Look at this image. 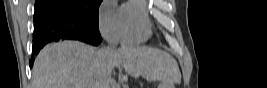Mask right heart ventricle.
Here are the masks:
<instances>
[{
	"label": "right heart ventricle",
	"mask_w": 267,
	"mask_h": 88,
	"mask_svg": "<svg viewBox=\"0 0 267 88\" xmlns=\"http://www.w3.org/2000/svg\"><path fill=\"white\" fill-rule=\"evenodd\" d=\"M122 44L137 45L144 43L152 35L147 3L128 1L121 7Z\"/></svg>",
	"instance_id": "obj_1"
}]
</instances>
